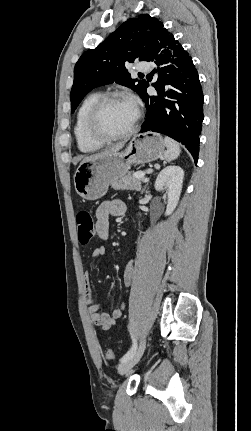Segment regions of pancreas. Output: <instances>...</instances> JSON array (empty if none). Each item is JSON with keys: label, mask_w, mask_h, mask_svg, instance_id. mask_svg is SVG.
I'll return each mask as SVG.
<instances>
[{"label": "pancreas", "mask_w": 251, "mask_h": 431, "mask_svg": "<svg viewBox=\"0 0 251 431\" xmlns=\"http://www.w3.org/2000/svg\"><path fill=\"white\" fill-rule=\"evenodd\" d=\"M136 173H127L125 176L118 180L111 182V187L115 190H141V183L143 178H136Z\"/></svg>", "instance_id": "1"}]
</instances>
